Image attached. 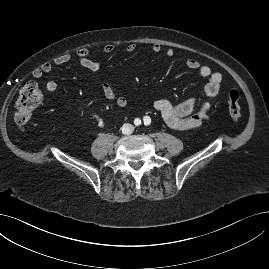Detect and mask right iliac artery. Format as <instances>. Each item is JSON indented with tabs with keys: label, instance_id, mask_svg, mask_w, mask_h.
Instances as JSON below:
<instances>
[{
	"label": "right iliac artery",
	"instance_id": "right-iliac-artery-1",
	"mask_svg": "<svg viewBox=\"0 0 269 269\" xmlns=\"http://www.w3.org/2000/svg\"><path fill=\"white\" fill-rule=\"evenodd\" d=\"M134 124H135L136 126L140 125V124H141V120H140L139 118H136V119L134 120Z\"/></svg>",
	"mask_w": 269,
	"mask_h": 269
}]
</instances>
